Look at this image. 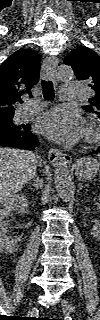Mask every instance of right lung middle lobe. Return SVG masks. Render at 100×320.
<instances>
[{
    "label": "right lung middle lobe",
    "mask_w": 100,
    "mask_h": 320,
    "mask_svg": "<svg viewBox=\"0 0 100 320\" xmlns=\"http://www.w3.org/2000/svg\"><path fill=\"white\" fill-rule=\"evenodd\" d=\"M12 119L13 117L0 119V133L6 132L11 134H21L29 130V124H21L19 126H15Z\"/></svg>",
    "instance_id": "1"
}]
</instances>
